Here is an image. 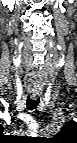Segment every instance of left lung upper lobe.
Returning a JSON list of instances; mask_svg holds the SVG:
<instances>
[{
    "label": "left lung upper lobe",
    "mask_w": 77,
    "mask_h": 143,
    "mask_svg": "<svg viewBox=\"0 0 77 143\" xmlns=\"http://www.w3.org/2000/svg\"><path fill=\"white\" fill-rule=\"evenodd\" d=\"M57 138L63 140H76L77 138V124L75 122L66 123L58 134Z\"/></svg>",
    "instance_id": "obj_1"
}]
</instances>
